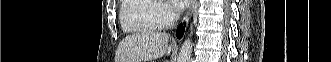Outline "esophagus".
I'll return each instance as SVG.
<instances>
[{"mask_svg":"<svg viewBox=\"0 0 331 62\" xmlns=\"http://www.w3.org/2000/svg\"><path fill=\"white\" fill-rule=\"evenodd\" d=\"M195 2H196V0H193L192 1V4L190 5V7H189V9H188V11L186 13L185 20H187V21L192 16V13H193V10H194V7H195Z\"/></svg>","mask_w":331,"mask_h":62,"instance_id":"1","label":"esophagus"}]
</instances>
